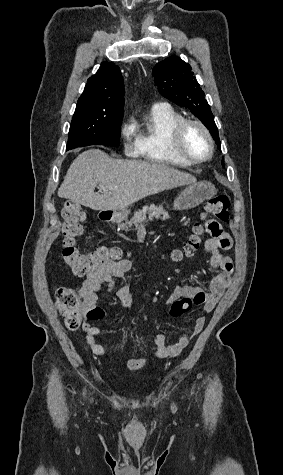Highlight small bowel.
Here are the masks:
<instances>
[{"label": "small bowel", "mask_w": 283, "mask_h": 475, "mask_svg": "<svg viewBox=\"0 0 283 475\" xmlns=\"http://www.w3.org/2000/svg\"><path fill=\"white\" fill-rule=\"evenodd\" d=\"M208 233V239L204 243V249L209 254V267L216 270L217 274L212 278L207 288L188 285H177L167 302L170 304L171 298L176 297V293H195L196 305H201L205 313H211L226 289L231 283V276L234 270L232 259L222 252V249L231 248L233 241L228 239L229 230L226 228L223 219H214L204 226ZM132 269V264L126 259L108 260L101 264L95 271L89 273L82 285V298L85 304V320L82 323L84 341L96 356H106V351L98 337L102 333L100 326L107 324L104 311L98 307V292L106 286L109 292H113L118 298L123 308H129L132 303L131 293L126 282L125 273ZM114 280H118L120 285L114 289ZM172 317L175 315L171 309ZM206 323L204 316H197L191 332L183 331L177 341L166 344V334L158 332L152 339L155 346L153 356L148 358L131 359L126 363L130 371H139L146 367L152 360L164 358H176L189 345L192 338L199 335ZM99 325V326H98Z\"/></svg>", "instance_id": "small-bowel-1"}]
</instances>
